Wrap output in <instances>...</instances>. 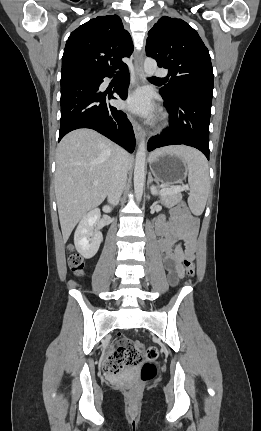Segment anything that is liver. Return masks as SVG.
Returning <instances> with one entry per match:
<instances>
[{"instance_id": "1", "label": "liver", "mask_w": 261, "mask_h": 431, "mask_svg": "<svg viewBox=\"0 0 261 431\" xmlns=\"http://www.w3.org/2000/svg\"><path fill=\"white\" fill-rule=\"evenodd\" d=\"M120 149L91 129L72 131L58 144L55 194L64 243L79 220L108 195ZM125 158L129 169L133 157L127 153Z\"/></svg>"}]
</instances>
